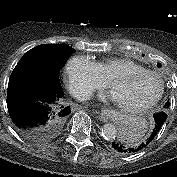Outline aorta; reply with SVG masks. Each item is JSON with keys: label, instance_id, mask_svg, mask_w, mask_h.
<instances>
[{"label": "aorta", "instance_id": "1", "mask_svg": "<svg viewBox=\"0 0 177 177\" xmlns=\"http://www.w3.org/2000/svg\"><path fill=\"white\" fill-rule=\"evenodd\" d=\"M117 128L114 124L106 123L101 128L102 136L107 140H113L117 136Z\"/></svg>", "mask_w": 177, "mask_h": 177}]
</instances>
